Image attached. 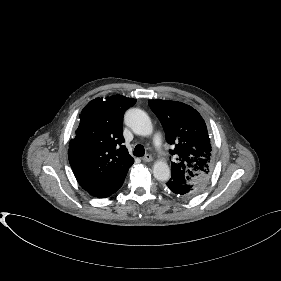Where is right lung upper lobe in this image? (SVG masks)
<instances>
[{"label":"right lung upper lobe","mask_w":281,"mask_h":281,"mask_svg":"<svg viewBox=\"0 0 281 281\" xmlns=\"http://www.w3.org/2000/svg\"><path fill=\"white\" fill-rule=\"evenodd\" d=\"M135 103L122 95L96 98L80 114L68 158L78 183L95 197L115 193L134 163L123 145L122 124L125 111Z\"/></svg>","instance_id":"obj_1"}]
</instances>
